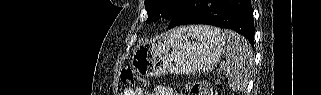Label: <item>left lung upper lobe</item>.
<instances>
[{
  "instance_id": "obj_1",
  "label": "left lung upper lobe",
  "mask_w": 321,
  "mask_h": 95,
  "mask_svg": "<svg viewBox=\"0 0 321 95\" xmlns=\"http://www.w3.org/2000/svg\"><path fill=\"white\" fill-rule=\"evenodd\" d=\"M184 0H145L148 14L147 23L156 22L160 17L170 19Z\"/></svg>"
}]
</instances>
